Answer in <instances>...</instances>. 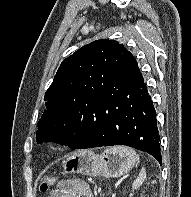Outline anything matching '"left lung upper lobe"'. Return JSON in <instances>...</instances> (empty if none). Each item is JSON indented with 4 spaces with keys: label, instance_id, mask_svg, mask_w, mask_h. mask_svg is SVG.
I'll list each match as a JSON object with an SVG mask.
<instances>
[{
    "label": "left lung upper lobe",
    "instance_id": "1",
    "mask_svg": "<svg viewBox=\"0 0 191 197\" xmlns=\"http://www.w3.org/2000/svg\"><path fill=\"white\" fill-rule=\"evenodd\" d=\"M139 72L131 52L117 41L97 40L77 50L61 63L45 93L46 110L38 122L37 142L66 144L67 133L79 116L91 114L104 93Z\"/></svg>",
    "mask_w": 191,
    "mask_h": 197
}]
</instances>
